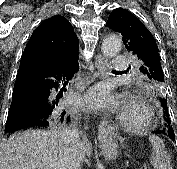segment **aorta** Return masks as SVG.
Wrapping results in <instances>:
<instances>
[{
	"instance_id": "762f6f07",
	"label": "aorta",
	"mask_w": 177,
	"mask_h": 169,
	"mask_svg": "<svg viewBox=\"0 0 177 169\" xmlns=\"http://www.w3.org/2000/svg\"><path fill=\"white\" fill-rule=\"evenodd\" d=\"M122 46L121 39L118 36H107L102 43L101 51L105 57H113Z\"/></svg>"
}]
</instances>
